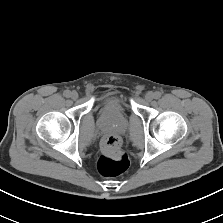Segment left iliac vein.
<instances>
[{"mask_svg":"<svg viewBox=\"0 0 223 223\" xmlns=\"http://www.w3.org/2000/svg\"><path fill=\"white\" fill-rule=\"evenodd\" d=\"M153 98H154V94H153L152 92H147V93H146V95H145V100H146L147 102L152 101Z\"/></svg>","mask_w":223,"mask_h":223,"instance_id":"obj_1","label":"left iliac vein"}]
</instances>
